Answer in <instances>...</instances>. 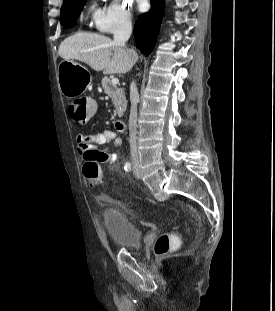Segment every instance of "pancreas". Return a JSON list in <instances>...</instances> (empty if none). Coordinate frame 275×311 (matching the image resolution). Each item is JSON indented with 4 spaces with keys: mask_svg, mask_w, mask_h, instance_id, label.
<instances>
[{
    "mask_svg": "<svg viewBox=\"0 0 275 311\" xmlns=\"http://www.w3.org/2000/svg\"><path fill=\"white\" fill-rule=\"evenodd\" d=\"M101 84L104 92L111 98L114 104L116 109L115 114L122 116L127 107L124 89L118 88L117 85H113L108 77H104Z\"/></svg>",
    "mask_w": 275,
    "mask_h": 311,
    "instance_id": "cf45deb5",
    "label": "pancreas"
}]
</instances>
